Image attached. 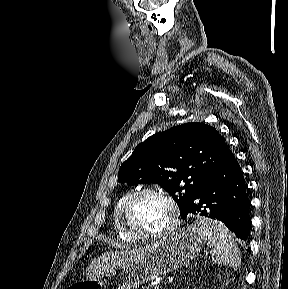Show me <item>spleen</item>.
<instances>
[{
	"label": "spleen",
	"instance_id": "obj_1",
	"mask_svg": "<svg viewBox=\"0 0 288 289\" xmlns=\"http://www.w3.org/2000/svg\"><path fill=\"white\" fill-rule=\"evenodd\" d=\"M193 226L196 233L211 248V257L215 263L229 266L238 271L241 267V255L229 230L220 222L200 218Z\"/></svg>",
	"mask_w": 288,
	"mask_h": 289
}]
</instances>
